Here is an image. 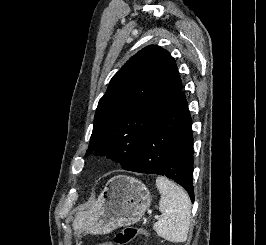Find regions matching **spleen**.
<instances>
[{
    "mask_svg": "<svg viewBox=\"0 0 266 245\" xmlns=\"http://www.w3.org/2000/svg\"><path fill=\"white\" fill-rule=\"evenodd\" d=\"M156 185L161 195L159 211L162 215L153 229L165 241L185 243L189 233L191 201L181 187L166 177H157Z\"/></svg>",
    "mask_w": 266,
    "mask_h": 245,
    "instance_id": "3e777b00",
    "label": "spleen"
}]
</instances>
